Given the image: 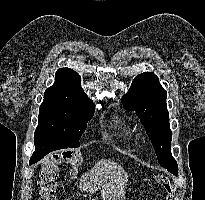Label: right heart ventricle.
Returning a JSON list of instances; mask_svg holds the SVG:
<instances>
[{
  "mask_svg": "<svg viewBox=\"0 0 205 200\" xmlns=\"http://www.w3.org/2000/svg\"><path fill=\"white\" fill-rule=\"evenodd\" d=\"M118 128L120 130L121 136L125 140L130 141L133 138V130L130 124L125 121H119Z\"/></svg>",
  "mask_w": 205,
  "mask_h": 200,
  "instance_id": "e07e8e85",
  "label": "right heart ventricle"
}]
</instances>
